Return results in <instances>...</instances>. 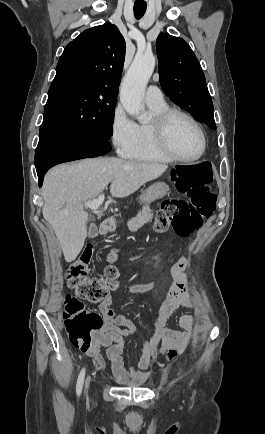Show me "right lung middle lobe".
Segmentation results:
<instances>
[{"mask_svg": "<svg viewBox=\"0 0 265 434\" xmlns=\"http://www.w3.org/2000/svg\"><path fill=\"white\" fill-rule=\"evenodd\" d=\"M117 95L118 90L91 79L53 81L40 131L50 127L77 137L108 140Z\"/></svg>", "mask_w": 265, "mask_h": 434, "instance_id": "obj_1", "label": "right lung middle lobe"}]
</instances>
